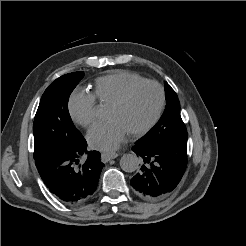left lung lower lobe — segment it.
<instances>
[{
  "instance_id": "1",
  "label": "left lung lower lobe",
  "mask_w": 246,
  "mask_h": 246,
  "mask_svg": "<svg viewBox=\"0 0 246 246\" xmlns=\"http://www.w3.org/2000/svg\"><path fill=\"white\" fill-rule=\"evenodd\" d=\"M132 150L142 158L139 173L130 181L139 196L158 199L178 185L187 165V140L151 143L141 138Z\"/></svg>"
}]
</instances>
